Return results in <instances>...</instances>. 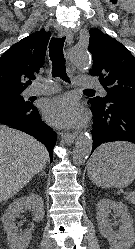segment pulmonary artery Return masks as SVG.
Segmentation results:
<instances>
[{
  "mask_svg": "<svg viewBox=\"0 0 135 249\" xmlns=\"http://www.w3.org/2000/svg\"><path fill=\"white\" fill-rule=\"evenodd\" d=\"M75 83L79 87L86 88H99L103 93L105 91L101 88L100 84L94 77L90 76H77L75 79ZM59 86L53 82L44 81L43 83H36L29 87L25 91L26 96H34V95H47L53 94L59 91Z\"/></svg>",
  "mask_w": 135,
  "mask_h": 249,
  "instance_id": "pulmonary-artery-1",
  "label": "pulmonary artery"
}]
</instances>
